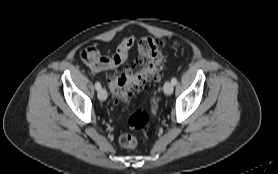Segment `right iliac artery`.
Returning a JSON list of instances; mask_svg holds the SVG:
<instances>
[{
  "mask_svg": "<svg viewBox=\"0 0 278 174\" xmlns=\"http://www.w3.org/2000/svg\"><path fill=\"white\" fill-rule=\"evenodd\" d=\"M95 88L96 90H100L101 89V84L99 82L95 83Z\"/></svg>",
  "mask_w": 278,
  "mask_h": 174,
  "instance_id": "right-iliac-artery-1",
  "label": "right iliac artery"
}]
</instances>
